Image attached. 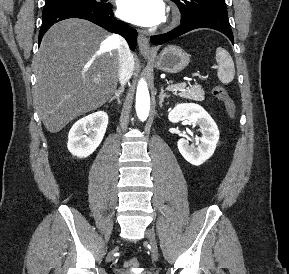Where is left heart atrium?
<instances>
[{"label": "left heart atrium", "instance_id": "left-heart-atrium-1", "mask_svg": "<svg viewBox=\"0 0 289 274\" xmlns=\"http://www.w3.org/2000/svg\"><path fill=\"white\" fill-rule=\"evenodd\" d=\"M162 0H119L118 13L130 23L140 26H154L164 18Z\"/></svg>", "mask_w": 289, "mask_h": 274}]
</instances>
